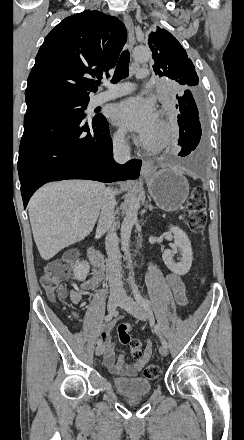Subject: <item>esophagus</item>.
I'll return each instance as SVG.
<instances>
[{"label":"esophagus","mask_w":244,"mask_h":440,"mask_svg":"<svg viewBox=\"0 0 244 440\" xmlns=\"http://www.w3.org/2000/svg\"><path fill=\"white\" fill-rule=\"evenodd\" d=\"M123 20H124V24L128 30V33H129L128 49L131 51L136 43L133 21H132L131 16L128 13L123 14ZM153 165H154V162L152 160H144L142 167H141V173L143 175L148 174L150 169L153 167Z\"/></svg>","instance_id":"esophagus-1"}]
</instances>
